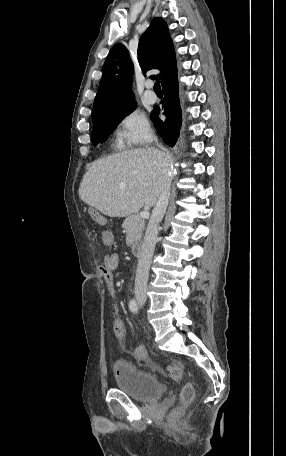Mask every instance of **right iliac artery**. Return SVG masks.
<instances>
[{"label": "right iliac artery", "instance_id": "obj_1", "mask_svg": "<svg viewBox=\"0 0 286 456\" xmlns=\"http://www.w3.org/2000/svg\"><path fill=\"white\" fill-rule=\"evenodd\" d=\"M129 309L131 310V312L133 313H137L138 312V304L137 302L132 299L129 303Z\"/></svg>", "mask_w": 286, "mask_h": 456}]
</instances>
